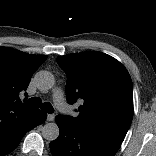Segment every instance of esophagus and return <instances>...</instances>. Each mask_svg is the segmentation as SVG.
Masks as SVG:
<instances>
[{"label": "esophagus", "instance_id": "obj_1", "mask_svg": "<svg viewBox=\"0 0 156 156\" xmlns=\"http://www.w3.org/2000/svg\"><path fill=\"white\" fill-rule=\"evenodd\" d=\"M54 119H55V115L54 114H48L47 115V120L48 121H54Z\"/></svg>", "mask_w": 156, "mask_h": 156}]
</instances>
